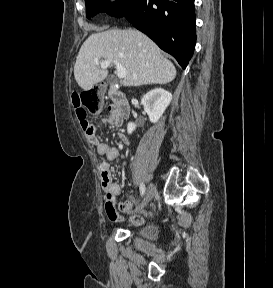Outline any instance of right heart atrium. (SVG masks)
<instances>
[{
  "label": "right heart atrium",
  "instance_id": "d8ad5b80",
  "mask_svg": "<svg viewBox=\"0 0 273 288\" xmlns=\"http://www.w3.org/2000/svg\"><path fill=\"white\" fill-rule=\"evenodd\" d=\"M109 2H110L111 4H116V3H117V0H109Z\"/></svg>",
  "mask_w": 273,
  "mask_h": 288
}]
</instances>
